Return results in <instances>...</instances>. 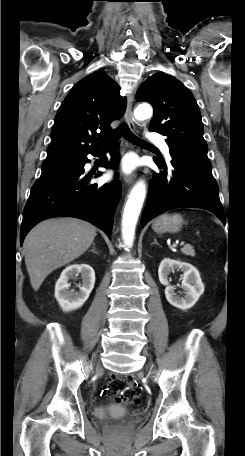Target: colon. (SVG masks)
<instances>
[{
	"mask_svg": "<svg viewBox=\"0 0 245 456\" xmlns=\"http://www.w3.org/2000/svg\"><path fill=\"white\" fill-rule=\"evenodd\" d=\"M104 395L126 405L140 403L141 387L132 377H110L104 387Z\"/></svg>",
	"mask_w": 245,
	"mask_h": 456,
	"instance_id": "colon-1",
	"label": "colon"
}]
</instances>
